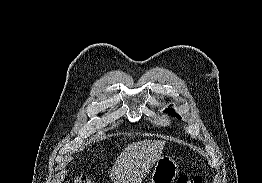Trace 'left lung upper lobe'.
<instances>
[{"instance_id":"obj_1","label":"left lung upper lobe","mask_w":262,"mask_h":183,"mask_svg":"<svg viewBox=\"0 0 262 183\" xmlns=\"http://www.w3.org/2000/svg\"><path fill=\"white\" fill-rule=\"evenodd\" d=\"M165 112L171 114L172 116H177L179 119H181L180 116H178V114H175V113H174V110H173V109H169V108H168V109L165 110Z\"/></svg>"}]
</instances>
